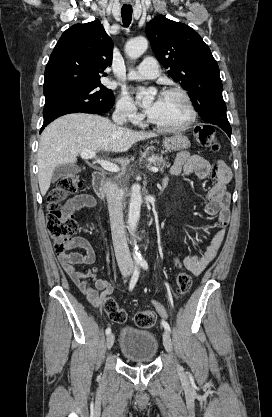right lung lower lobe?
I'll return each mask as SVG.
<instances>
[{
	"label": "right lung lower lobe",
	"mask_w": 272,
	"mask_h": 417,
	"mask_svg": "<svg viewBox=\"0 0 272 417\" xmlns=\"http://www.w3.org/2000/svg\"><path fill=\"white\" fill-rule=\"evenodd\" d=\"M109 110H107V111H100V110H98V109H95V108H92V107H72V108H68V109H65V110H62V111H60V112H58V113H56V114H54L52 117H50V118H48L47 120H45V122H44V124H43V126H42V128H41V131H40V133L42 132V130L50 123V122H52L54 119H56V118H58V117H60V116H62V115H65V114H69V113H78V112H82V113H91V114H103V113H106V112H108Z\"/></svg>",
	"instance_id": "obj_1"
}]
</instances>
